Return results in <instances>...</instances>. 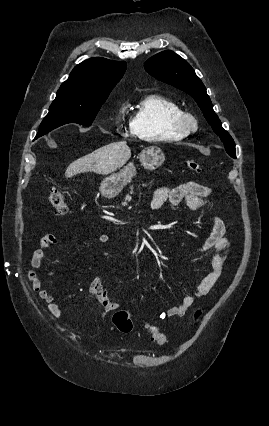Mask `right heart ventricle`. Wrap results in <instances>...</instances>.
Wrapping results in <instances>:
<instances>
[{"mask_svg": "<svg viewBox=\"0 0 269 426\" xmlns=\"http://www.w3.org/2000/svg\"><path fill=\"white\" fill-rule=\"evenodd\" d=\"M172 99L160 94H148L135 106L131 119V132L147 142L178 141L185 137L170 123V117L180 111Z\"/></svg>", "mask_w": 269, "mask_h": 426, "instance_id": "1", "label": "right heart ventricle"}]
</instances>
